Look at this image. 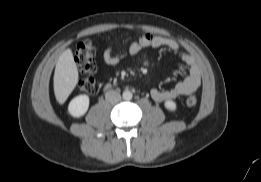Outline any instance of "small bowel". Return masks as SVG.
Listing matches in <instances>:
<instances>
[{
	"label": "small bowel",
	"instance_id": "obj_1",
	"mask_svg": "<svg viewBox=\"0 0 261 182\" xmlns=\"http://www.w3.org/2000/svg\"><path fill=\"white\" fill-rule=\"evenodd\" d=\"M153 47H164L179 54L181 61L188 68L187 77L178 82L174 87L168 90L152 89L150 95L156 102H164L175 99L179 96L195 93L201 85V70L195 57L181 49L180 44L171 38L145 34L134 41L129 47L131 55L138 54L142 49ZM122 59V55L115 53L111 47L106 48L103 53V62L107 65H116Z\"/></svg>",
	"mask_w": 261,
	"mask_h": 182
}]
</instances>
